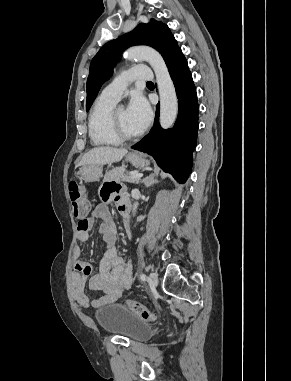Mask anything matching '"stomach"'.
<instances>
[{
  "label": "stomach",
  "mask_w": 291,
  "mask_h": 381,
  "mask_svg": "<svg viewBox=\"0 0 291 381\" xmlns=\"http://www.w3.org/2000/svg\"><path fill=\"white\" fill-rule=\"evenodd\" d=\"M126 159L135 167L149 165V161L143 155L136 152L128 153ZM102 170L101 165H85L79 170L78 175L85 182H95L102 176Z\"/></svg>",
  "instance_id": "stomach-1"
}]
</instances>
